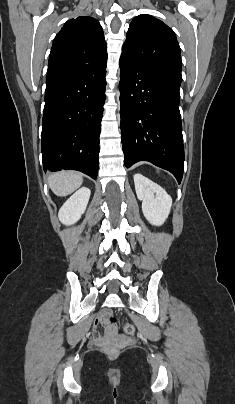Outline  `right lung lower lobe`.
<instances>
[{
  "label": "right lung lower lobe",
  "instance_id": "obj_1",
  "mask_svg": "<svg viewBox=\"0 0 235 404\" xmlns=\"http://www.w3.org/2000/svg\"><path fill=\"white\" fill-rule=\"evenodd\" d=\"M106 62L47 74L42 121L44 171L98 173Z\"/></svg>",
  "mask_w": 235,
  "mask_h": 404
}]
</instances>
